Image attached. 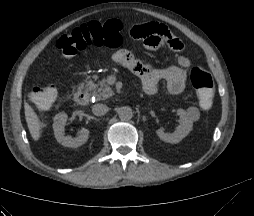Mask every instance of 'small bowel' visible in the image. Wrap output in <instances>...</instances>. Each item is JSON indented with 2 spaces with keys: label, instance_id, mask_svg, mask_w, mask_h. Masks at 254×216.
<instances>
[{
  "label": "small bowel",
  "instance_id": "1",
  "mask_svg": "<svg viewBox=\"0 0 254 216\" xmlns=\"http://www.w3.org/2000/svg\"><path fill=\"white\" fill-rule=\"evenodd\" d=\"M125 38L131 44H136L142 40L145 46L151 50L160 46L166 47L169 51H180L183 47L182 42L172 35L166 26L159 27L154 23L129 28L125 33ZM111 61L140 75L144 90L148 94H156L158 85L162 81L166 82L167 90L172 95L182 93L186 87L190 60L184 55L178 56L177 66L160 69L150 68L147 64L136 59L132 53L124 49L114 52L111 56Z\"/></svg>",
  "mask_w": 254,
  "mask_h": 216
}]
</instances>
